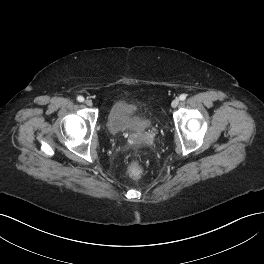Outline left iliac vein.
I'll list each match as a JSON object with an SVG mask.
<instances>
[{"label":"left iliac vein","instance_id":"4c4485c4","mask_svg":"<svg viewBox=\"0 0 264 264\" xmlns=\"http://www.w3.org/2000/svg\"><path fill=\"white\" fill-rule=\"evenodd\" d=\"M178 104H179V99H178V98L174 99V100L172 101V103H171L172 107H174V108L177 107Z\"/></svg>","mask_w":264,"mask_h":264}]
</instances>
